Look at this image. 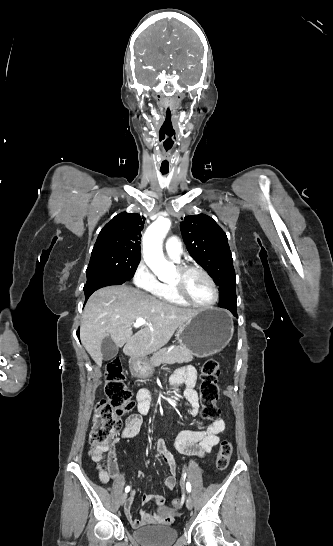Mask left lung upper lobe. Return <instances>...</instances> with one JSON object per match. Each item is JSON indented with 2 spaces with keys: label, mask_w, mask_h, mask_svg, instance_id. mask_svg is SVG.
Segmentation results:
<instances>
[{
  "label": "left lung upper lobe",
  "mask_w": 333,
  "mask_h": 546,
  "mask_svg": "<svg viewBox=\"0 0 333 546\" xmlns=\"http://www.w3.org/2000/svg\"><path fill=\"white\" fill-rule=\"evenodd\" d=\"M181 231L192 258L219 286V306L236 305V275L225 232L205 214L186 216Z\"/></svg>",
  "instance_id": "left-lung-upper-lobe-1"
}]
</instances>
